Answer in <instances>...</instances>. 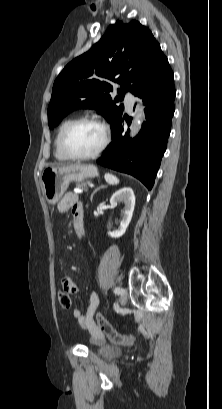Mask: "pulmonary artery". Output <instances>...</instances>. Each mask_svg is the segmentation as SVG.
<instances>
[{"label": "pulmonary artery", "mask_w": 222, "mask_h": 409, "mask_svg": "<svg viewBox=\"0 0 222 409\" xmlns=\"http://www.w3.org/2000/svg\"><path fill=\"white\" fill-rule=\"evenodd\" d=\"M133 104H134V97L131 94L127 93L125 95V105H126V107L128 109H131L133 107Z\"/></svg>", "instance_id": "e3ab8cb5"}]
</instances>
